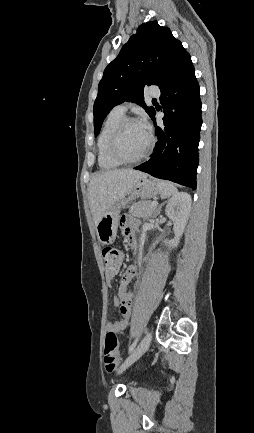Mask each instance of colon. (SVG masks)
Instances as JSON below:
<instances>
[{
  "label": "colon",
  "mask_w": 254,
  "mask_h": 433,
  "mask_svg": "<svg viewBox=\"0 0 254 433\" xmlns=\"http://www.w3.org/2000/svg\"><path fill=\"white\" fill-rule=\"evenodd\" d=\"M102 257L107 274H115L121 263V252L114 247H105L102 250ZM104 363L108 372H113L121 364L119 358V341L113 331H107L104 344Z\"/></svg>",
  "instance_id": "5ec220e1"
}]
</instances>
